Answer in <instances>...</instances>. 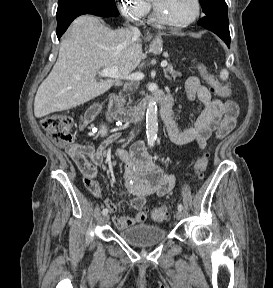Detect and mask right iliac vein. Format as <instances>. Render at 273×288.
<instances>
[{
    "instance_id": "1",
    "label": "right iliac vein",
    "mask_w": 273,
    "mask_h": 288,
    "mask_svg": "<svg viewBox=\"0 0 273 288\" xmlns=\"http://www.w3.org/2000/svg\"><path fill=\"white\" fill-rule=\"evenodd\" d=\"M109 219H110V217H109L108 214L104 215V217H103V223H104V224L108 223V222H109Z\"/></svg>"
}]
</instances>
